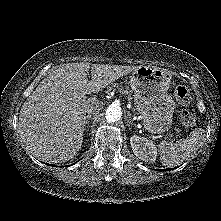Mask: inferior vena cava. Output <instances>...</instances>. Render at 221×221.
Returning a JSON list of instances; mask_svg holds the SVG:
<instances>
[{
    "mask_svg": "<svg viewBox=\"0 0 221 221\" xmlns=\"http://www.w3.org/2000/svg\"><path fill=\"white\" fill-rule=\"evenodd\" d=\"M100 109H101L100 105L91 106L90 108L86 110V113L88 114V116L95 115L99 113Z\"/></svg>",
    "mask_w": 221,
    "mask_h": 221,
    "instance_id": "inferior-vena-cava-1",
    "label": "inferior vena cava"
}]
</instances>
